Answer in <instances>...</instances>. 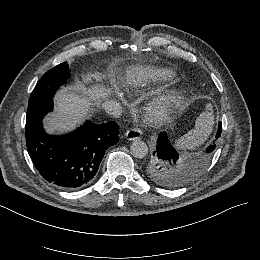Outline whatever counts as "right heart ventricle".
<instances>
[{"label":"right heart ventricle","mask_w":260,"mask_h":260,"mask_svg":"<svg viewBox=\"0 0 260 260\" xmlns=\"http://www.w3.org/2000/svg\"><path fill=\"white\" fill-rule=\"evenodd\" d=\"M176 78V74L165 67L146 66L139 69L136 77L123 80L121 87L128 94H137Z\"/></svg>","instance_id":"obj_1"}]
</instances>
